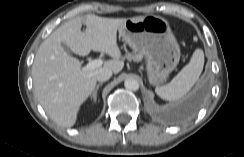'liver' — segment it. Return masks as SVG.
<instances>
[{"mask_svg": "<svg viewBox=\"0 0 244 157\" xmlns=\"http://www.w3.org/2000/svg\"><path fill=\"white\" fill-rule=\"evenodd\" d=\"M125 18H104L94 14L76 17L62 24L45 39L35 55L32 78L35 95L47 115L61 127H72L80 106L93 93L96 75L102 68L118 74L124 67L117 44V31ZM82 24L86 31L82 32ZM73 53L86 56L91 50L106 53L112 59L85 72Z\"/></svg>", "mask_w": 244, "mask_h": 157, "instance_id": "1", "label": "liver"}]
</instances>
